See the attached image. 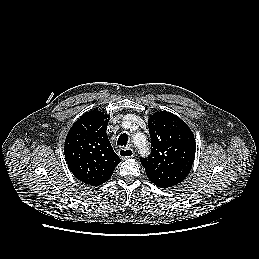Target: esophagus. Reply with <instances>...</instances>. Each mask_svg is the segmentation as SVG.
<instances>
[{
    "label": "esophagus",
    "instance_id": "1",
    "mask_svg": "<svg viewBox=\"0 0 259 259\" xmlns=\"http://www.w3.org/2000/svg\"><path fill=\"white\" fill-rule=\"evenodd\" d=\"M118 154L123 159L134 157V150L132 148H120Z\"/></svg>",
    "mask_w": 259,
    "mask_h": 259
}]
</instances>
